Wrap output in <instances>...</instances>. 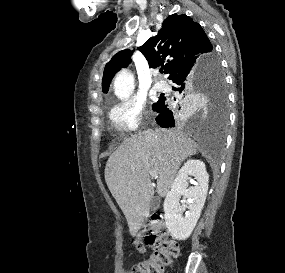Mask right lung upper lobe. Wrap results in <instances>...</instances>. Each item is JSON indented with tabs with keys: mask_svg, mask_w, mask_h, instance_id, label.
<instances>
[{
	"mask_svg": "<svg viewBox=\"0 0 285 273\" xmlns=\"http://www.w3.org/2000/svg\"><path fill=\"white\" fill-rule=\"evenodd\" d=\"M138 49L147 59L149 67L155 68L165 64V73L169 75V79L187 66L215 55L203 28L185 14L169 15L163 21L159 33ZM131 55L130 50L120 51L106 64L102 80L104 93L108 92L115 73L128 66Z\"/></svg>",
	"mask_w": 285,
	"mask_h": 273,
	"instance_id": "1",
	"label": "right lung upper lobe"
}]
</instances>
